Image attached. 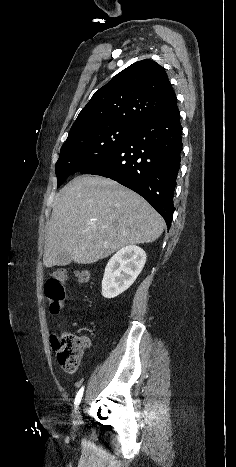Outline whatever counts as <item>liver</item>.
I'll return each mask as SVG.
<instances>
[{"label": "liver", "instance_id": "obj_1", "mask_svg": "<svg viewBox=\"0 0 236 467\" xmlns=\"http://www.w3.org/2000/svg\"><path fill=\"white\" fill-rule=\"evenodd\" d=\"M163 229L162 217L137 193L109 178L78 176L55 197L43 263L59 265L58 254L66 252L75 263L91 264L154 242Z\"/></svg>", "mask_w": 236, "mask_h": 467}]
</instances>
